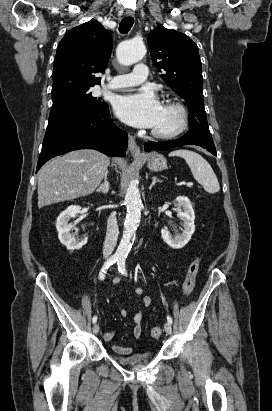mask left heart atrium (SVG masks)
Listing matches in <instances>:
<instances>
[{"label":"left heart atrium","instance_id":"1","mask_svg":"<svg viewBox=\"0 0 272 411\" xmlns=\"http://www.w3.org/2000/svg\"><path fill=\"white\" fill-rule=\"evenodd\" d=\"M114 110L122 121L133 127L152 128L160 117L162 106L151 91L143 90L118 96Z\"/></svg>","mask_w":272,"mask_h":411}]
</instances>
